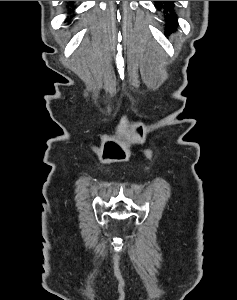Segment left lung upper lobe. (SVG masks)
<instances>
[{
    "label": "left lung upper lobe",
    "instance_id": "left-lung-upper-lobe-1",
    "mask_svg": "<svg viewBox=\"0 0 237 300\" xmlns=\"http://www.w3.org/2000/svg\"><path fill=\"white\" fill-rule=\"evenodd\" d=\"M174 1H157L156 7L159 11L163 10V14L166 21V32L170 34L172 31L176 30V27L178 26L177 21V15L175 13L174 9Z\"/></svg>",
    "mask_w": 237,
    "mask_h": 300
}]
</instances>
